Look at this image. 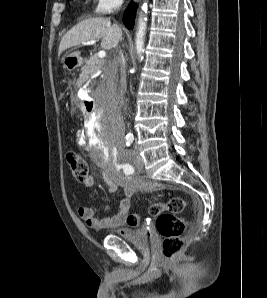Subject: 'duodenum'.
I'll use <instances>...</instances> for the list:
<instances>
[{"label": "duodenum", "mask_w": 267, "mask_h": 298, "mask_svg": "<svg viewBox=\"0 0 267 298\" xmlns=\"http://www.w3.org/2000/svg\"><path fill=\"white\" fill-rule=\"evenodd\" d=\"M77 66L75 64L73 67ZM96 93H89V97L80 98V103H83L86 115H95Z\"/></svg>", "instance_id": "duodenum-1"}]
</instances>
